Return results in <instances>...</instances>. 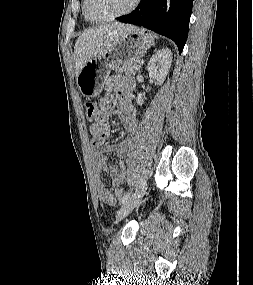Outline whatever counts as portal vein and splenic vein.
<instances>
[{
    "mask_svg": "<svg viewBox=\"0 0 253 285\" xmlns=\"http://www.w3.org/2000/svg\"><path fill=\"white\" fill-rule=\"evenodd\" d=\"M135 69H136V70H139V69H140V66H139V65H136V66H135Z\"/></svg>",
    "mask_w": 253,
    "mask_h": 285,
    "instance_id": "portal-vein-and-splenic-vein-1",
    "label": "portal vein and splenic vein"
}]
</instances>
